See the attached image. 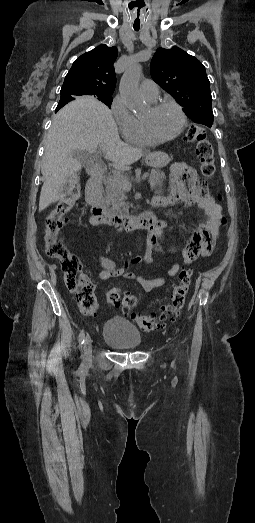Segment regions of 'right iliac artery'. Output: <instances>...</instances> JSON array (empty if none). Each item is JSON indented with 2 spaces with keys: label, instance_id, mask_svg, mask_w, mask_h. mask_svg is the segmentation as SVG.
<instances>
[{
  "label": "right iliac artery",
  "instance_id": "1",
  "mask_svg": "<svg viewBox=\"0 0 255 523\" xmlns=\"http://www.w3.org/2000/svg\"><path fill=\"white\" fill-rule=\"evenodd\" d=\"M84 339H85V333H84V330H81L80 334H79V339H78V342H79V348L82 349V346L84 344Z\"/></svg>",
  "mask_w": 255,
  "mask_h": 523
}]
</instances>
